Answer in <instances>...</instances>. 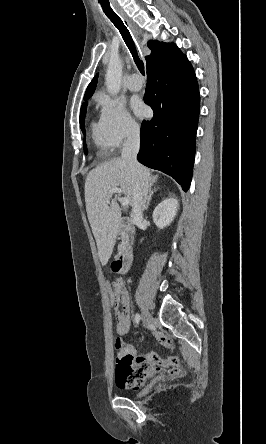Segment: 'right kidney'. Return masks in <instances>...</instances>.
I'll list each match as a JSON object with an SVG mask.
<instances>
[{"mask_svg":"<svg viewBox=\"0 0 266 444\" xmlns=\"http://www.w3.org/2000/svg\"><path fill=\"white\" fill-rule=\"evenodd\" d=\"M178 200L175 198H168L159 203L153 211V221L160 229L170 225L173 221L177 210Z\"/></svg>","mask_w":266,"mask_h":444,"instance_id":"1","label":"right kidney"}]
</instances>
